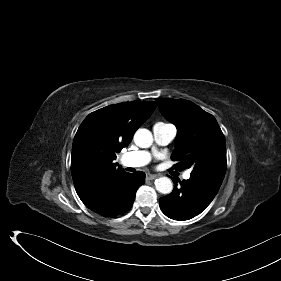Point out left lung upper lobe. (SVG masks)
Instances as JSON below:
<instances>
[{"mask_svg":"<svg viewBox=\"0 0 281 281\" xmlns=\"http://www.w3.org/2000/svg\"><path fill=\"white\" fill-rule=\"evenodd\" d=\"M164 116L177 127L174 168H191L192 174L224 179L225 137L213 115L187 100L156 99Z\"/></svg>","mask_w":281,"mask_h":281,"instance_id":"5c2ea615","label":"left lung upper lobe"}]
</instances>
